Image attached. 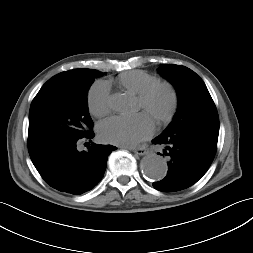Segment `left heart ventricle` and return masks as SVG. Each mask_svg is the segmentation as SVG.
<instances>
[{"mask_svg":"<svg viewBox=\"0 0 253 253\" xmlns=\"http://www.w3.org/2000/svg\"><path fill=\"white\" fill-rule=\"evenodd\" d=\"M169 95L166 91H159L146 108L138 101L139 108L144 109L153 119L164 115L169 107Z\"/></svg>","mask_w":253,"mask_h":253,"instance_id":"left-heart-ventricle-1","label":"left heart ventricle"}]
</instances>
